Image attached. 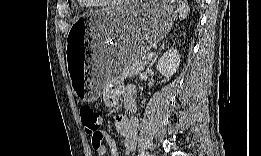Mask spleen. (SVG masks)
<instances>
[{"label":"spleen","instance_id":"obj_1","mask_svg":"<svg viewBox=\"0 0 261 156\" xmlns=\"http://www.w3.org/2000/svg\"><path fill=\"white\" fill-rule=\"evenodd\" d=\"M189 11L190 9L188 3L186 1H183L179 9V19H185L188 16Z\"/></svg>","mask_w":261,"mask_h":156}]
</instances>
